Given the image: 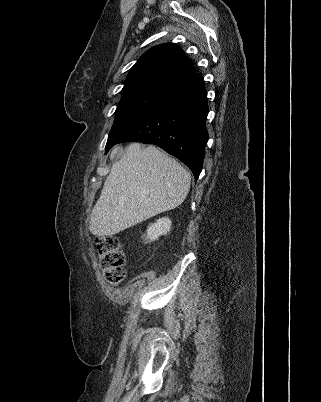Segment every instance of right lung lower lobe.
I'll return each mask as SVG.
<instances>
[{
  "label": "right lung lower lobe",
  "mask_w": 321,
  "mask_h": 402,
  "mask_svg": "<svg viewBox=\"0 0 321 402\" xmlns=\"http://www.w3.org/2000/svg\"><path fill=\"white\" fill-rule=\"evenodd\" d=\"M207 92L203 78L194 74L179 82L156 106L106 144L140 141L155 144L177 157L198 179L208 141Z\"/></svg>",
  "instance_id": "1"
}]
</instances>
